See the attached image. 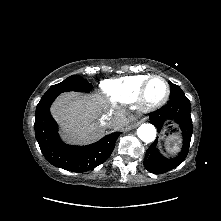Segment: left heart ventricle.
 Segmentation results:
<instances>
[{
  "label": "left heart ventricle",
  "instance_id": "1",
  "mask_svg": "<svg viewBox=\"0 0 221 221\" xmlns=\"http://www.w3.org/2000/svg\"><path fill=\"white\" fill-rule=\"evenodd\" d=\"M165 91V85L160 79L152 80L147 90L148 101L155 102L160 100L164 96Z\"/></svg>",
  "mask_w": 221,
  "mask_h": 221
}]
</instances>
